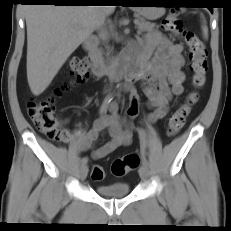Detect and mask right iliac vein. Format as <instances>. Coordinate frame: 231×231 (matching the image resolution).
<instances>
[{"mask_svg":"<svg viewBox=\"0 0 231 231\" xmlns=\"http://www.w3.org/2000/svg\"><path fill=\"white\" fill-rule=\"evenodd\" d=\"M87 174H88V166L82 165L79 170V179L81 181H84L87 177Z\"/></svg>","mask_w":231,"mask_h":231,"instance_id":"1","label":"right iliac vein"}]
</instances>
